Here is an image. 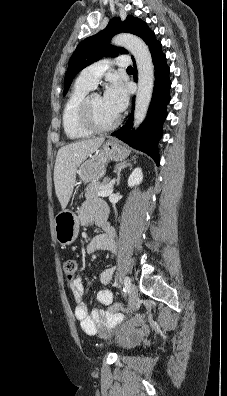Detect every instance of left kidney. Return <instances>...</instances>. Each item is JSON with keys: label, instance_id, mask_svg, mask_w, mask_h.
Segmentation results:
<instances>
[{"label": "left kidney", "instance_id": "obj_1", "mask_svg": "<svg viewBox=\"0 0 227 396\" xmlns=\"http://www.w3.org/2000/svg\"><path fill=\"white\" fill-rule=\"evenodd\" d=\"M143 180V174L141 168H135L128 178V186L133 187L139 185Z\"/></svg>", "mask_w": 227, "mask_h": 396}]
</instances>
